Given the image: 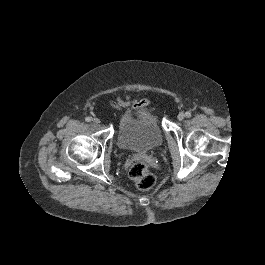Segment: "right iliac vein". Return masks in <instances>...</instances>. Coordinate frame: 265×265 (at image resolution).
Masks as SVG:
<instances>
[{
  "label": "right iliac vein",
  "mask_w": 265,
  "mask_h": 265,
  "mask_svg": "<svg viewBox=\"0 0 265 265\" xmlns=\"http://www.w3.org/2000/svg\"><path fill=\"white\" fill-rule=\"evenodd\" d=\"M92 121H93V123H95V124H99V123H100V119H98V118H94Z\"/></svg>",
  "instance_id": "obj_1"
}]
</instances>
